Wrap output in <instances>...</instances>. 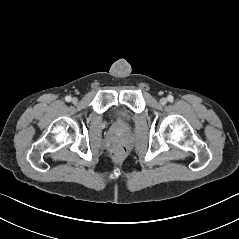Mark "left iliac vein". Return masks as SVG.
Masks as SVG:
<instances>
[{
	"mask_svg": "<svg viewBox=\"0 0 239 239\" xmlns=\"http://www.w3.org/2000/svg\"><path fill=\"white\" fill-rule=\"evenodd\" d=\"M160 103H161L162 105H165V104L167 103V99H166V98H161V99H160Z\"/></svg>",
	"mask_w": 239,
	"mask_h": 239,
	"instance_id": "4c4485c4",
	"label": "left iliac vein"
}]
</instances>
